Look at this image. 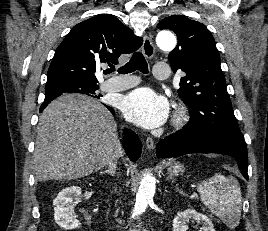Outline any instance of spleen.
<instances>
[{
  "label": "spleen",
  "instance_id": "1",
  "mask_svg": "<svg viewBox=\"0 0 268 231\" xmlns=\"http://www.w3.org/2000/svg\"><path fill=\"white\" fill-rule=\"evenodd\" d=\"M201 201L212 214L221 218L229 228L238 226L241 217L242 196L238 181L233 176L216 173L198 184Z\"/></svg>",
  "mask_w": 268,
  "mask_h": 231
}]
</instances>
